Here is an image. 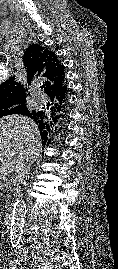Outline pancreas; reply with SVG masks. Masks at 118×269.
I'll return each instance as SVG.
<instances>
[{
	"label": "pancreas",
	"instance_id": "cf45deb5",
	"mask_svg": "<svg viewBox=\"0 0 118 269\" xmlns=\"http://www.w3.org/2000/svg\"><path fill=\"white\" fill-rule=\"evenodd\" d=\"M0 190H3L4 192H11L13 190V184L10 183L7 179H0ZM9 205L6 203L5 208H8Z\"/></svg>",
	"mask_w": 118,
	"mask_h": 269
}]
</instances>
